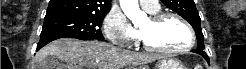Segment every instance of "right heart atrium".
Listing matches in <instances>:
<instances>
[{
    "instance_id": "d8ad5b80",
    "label": "right heart atrium",
    "mask_w": 246,
    "mask_h": 69,
    "mask_svg": "<svg viewBox=\"0 0 246 69\" xmlns=\"http://www.w3.org/2000/svg\"><path fill=\"white\" fill-rule=\"evenodd\" d=\"M126 19L119 12H111L104 21V31L107 38L116 44H127L131 40L126 32Z\"/></svg>"
}]
</instances>
